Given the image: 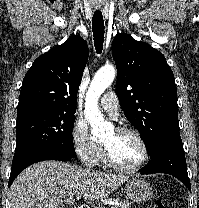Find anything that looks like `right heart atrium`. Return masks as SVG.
I'll return each mask as SVG.
<instances>
[{"instance_id": "1", "label": "right heart atrium", "mask_w": 199, "mask_h": 208, "mask_svg": "<svg viewBox=\"0 0 199 208\" xmlns=\"http://www.w3.org/2000/svg\"><path fill=\"white\" fill-rule=\"evenodd\" d=\"M72 144L77 155L89 166L99 162L102 155L101 146L91 137L87 124L76 119L72 128Z\"/></svg>"}]
</instances>
